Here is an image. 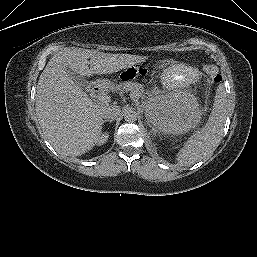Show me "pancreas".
Returning <instances> with one entry per match:
<instances>
[{
    "label": "pancreas",
    "mask_w": 257,
    "mask_h": 257,
    "mask_svg": "<svg viewBox=\"0 0 257 257\" xmlns=\"http://www.w3.org/2000/svg\"><path fill=\"white\" fill-rule=\"evenodd\" d=\"M118 89H123L124 91H130L132 93V99L135 102H138L139 98L142 97V94L144 92L142 86L138 83H124V84H119L117 86Z\"/></svg>",
    "instance_id": "pancreas-1"
}]
</instances>
